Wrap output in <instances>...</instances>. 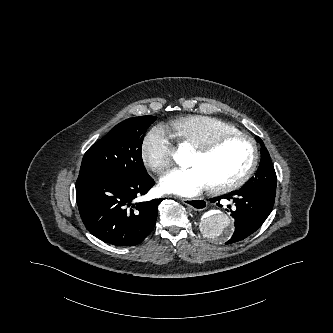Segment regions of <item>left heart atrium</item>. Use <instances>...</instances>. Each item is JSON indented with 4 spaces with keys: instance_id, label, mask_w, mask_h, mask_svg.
<instances>
[{
    "instance_id": "left-heart-atrium-1",
    "label": "left heart atrium",
    "mask_w": 333,
    "mask_h": 333,
    "mask_svg": "<svg viewBox=\"0 0 333 333\" xmlns=\"http://www.w3.org/2000/svg\"><path fill=\"white\" fill-rule=\"evenodd\" d=\"M211 184L205 174L198 167L174 169L160 180V188L164 192L192 197L200 194Z\"/></svg>"
}]
</instances>
